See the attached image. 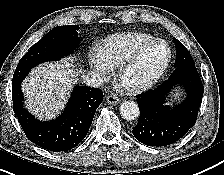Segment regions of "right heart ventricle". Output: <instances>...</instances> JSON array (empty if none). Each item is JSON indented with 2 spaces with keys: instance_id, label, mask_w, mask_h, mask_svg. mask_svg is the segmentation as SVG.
I'll return each instance as SVG.
<instances>
[{
  "instance_id": "1",
  "label": "right heart ventricle",
  "mask_w": 224,
  "mask_h": 175,
  "mask_svg": "<svg viewBox=\"0 0 224 175\" xmlns=\"http://www.w3.org/2000/svg\"><path fill=\"white\" fill-rule=\"evenodd\" d=\"M153 39L152 35L142 32L117 33L105 38L98 51L110 67H118L141 45Z\"/></svg>"
}]
</instances>
